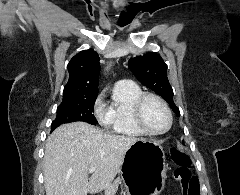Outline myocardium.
Returning a JSON list of instances; mask_svg holds the SVG:
<instances>
[{"label":"myocardium","mask_w":240,"mask_h":195,"mask_svg":"<svg viewBox=\"0 0 240 195\" xmlns=\"http://www.w3.org/2000/svg\"><path fill=\"white\" fill-rule=\"evenodd\" d=\"M148 99H153L155 101H157L161 107L163 108L166 118H167V124L165 126L164 129L160 130V131H155L152 130L151 128H149L144 120V115H143V107L145 102ZM134 116H135V121L137 123V125L140 127V129L148 135H152V136H159V135H163L165 133H167L171 126H172V113L170 108L168 107L167 103L157 94L154 93H150V92H143L141 93L135 100V104H134Z\"/></svg>","instance_id":"myocardium-1"}]
</instances>
